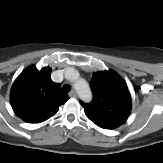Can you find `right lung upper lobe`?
<instances>
[{
	"label": "right lung upper lobe",
	"mask_w": 163,
	"mask_h": 163,
	"mask_svg": "<svg viewBox=\"0 0 163 163\" xmlns=\"http://www.w3.org/2000/svg\"><path fill=\"white\" fill-rule=\"evenodd\" d=\"M51 69L29 66L15 80L10 94L11 106L21 119L40 123L57 113L69 96L50 77Z\"/></svg>",
	"instance_id": "cb5924a9"
}]
</instances>
